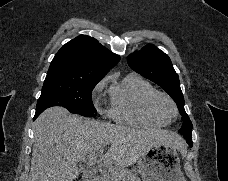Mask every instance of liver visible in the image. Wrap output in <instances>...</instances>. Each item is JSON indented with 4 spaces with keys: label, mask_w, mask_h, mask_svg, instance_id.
<instances>
[{
    "label": "liver",
    "mask_w": 228,
    "mask_h": 181,
    "mask_svg": "<svg viewBox=\"0 0 228 181\" xmlns=\"http://www.w3.org/2000/svg\"><path fill=\"white\" fill-rule=\"evenodd\" d=\"M34 125L28 181H75L81 173L78 163H87L91 157H101L105 165L124 169L135 165L153 145L185 149V141L177 133L99 123L71 115L63 107L46 109ZM106 145H110L107 153L98 155Z\"/></svg>",
    "instance_id": "obj_1"
}]
</instances>
